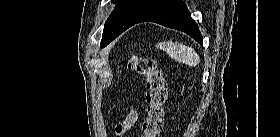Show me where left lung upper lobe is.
I'll return each mask as SVG.
<instances>
[{
  "label": "left lung upper lobe",
  "mask_w": 280,
  "mask_h": 137,
  "mask_svg": "<svg viewBox=\"0 0 280 137\" xmlns=\"http://www.w3.org/2000/svg\"><path fill=\"white\" fill-rule=\"evenodd\" d=\"M161 0H112L115 9L104 25L101 47L107 46L121 33L133 26Z\"/></svg>",
  "instance_id": "obj_1"
}]
</instances>
